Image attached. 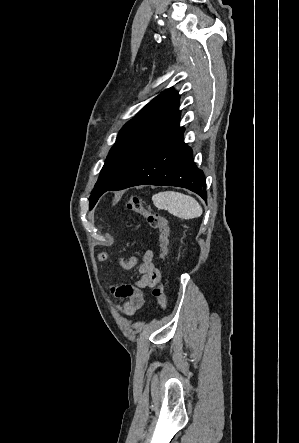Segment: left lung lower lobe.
Wrapping results in <instances>:
<instances>
[{"instance_id": "left-lung-lower-lobe-1", "label": "left lung lower lobe", "mask_w": 299, "mask_h": 443, "mask_svg": "<svg viewBox=\"0 0 299 443\" xmlns=\"http://www.w3.org/2000/svg\"><path fill=\"white\" fill-rule=\"evenodd\" d=\"M183 133V127L176 128L106 191L142 184L178 186L187 188L206 200L204 174L193 162L192 150L184 143Z\"/></svg>"}]
</instances>
